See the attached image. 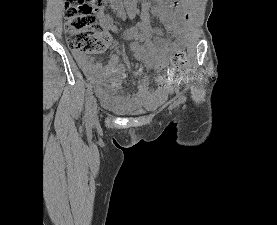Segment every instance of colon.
<instances>
[{
  "label": "colon",
  "mask_w": 277,
  "mask_h": 225,
  "mask_svg": "<svg viewBox=\"0 0 277 225\" xmlns=\"http://www.w3.org/2000/svg\"><path fill=\"white\" fill-rule=\"evenodd\" d=\"M98 0H67L65 12V32L69 48L76 54L89 55L103 53L107 43L96 24L94 6ZM187 62L185 52L177 51L171 58L168 78L178 81L180 72Z\"/></svg>",
  "instance_id": "obj_1"
}]
</instances>
